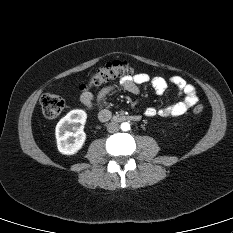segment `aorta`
Returning <instances> with one entry per match:
<instances>
[{
  "label": "aorta",
  "mask_w": 233,
  "mask_h": 233,
  "mask_svg": "<svg viewBox=\"0 0 233 233\" xmlns=\"http://www.w3.org/2000/svg\"><path fill=\"white\" fill-rule=\"evenodd\" d=\"M120 127H121L122 131H128V130H130V124L128 122L121 123Z\"/></svg>",
  "instance_id": "obj_1"
}]
</instances>
